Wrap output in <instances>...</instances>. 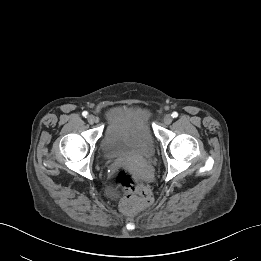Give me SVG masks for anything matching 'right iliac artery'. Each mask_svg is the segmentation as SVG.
<instances>
[{"label":"right iliac artery","instance_id":"obj_1","mask_svg":"<svg viewBox=\"0 0 261 261\" xmlns=\"http://www.w3.org/2000/svg\"><path fill=\"white\" fill-rule=\"evenodd\" d=\"M82 115L86 118V117L88 116V112H87V111H84V112L82 113Z\"/></svg>","mask_w":261,"mask_h":261}]
</instances>
